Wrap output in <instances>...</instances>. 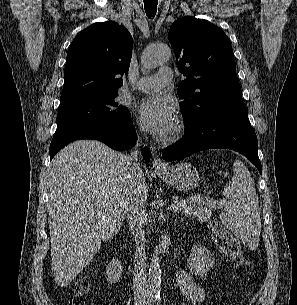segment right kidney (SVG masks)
<instances>
[{
    "label": "right kidney",
    "instance_id": "ca27d5eb",
    "mask_svg": "<svg viewBox=\"0 0 297 305\" xmlns=\"http://www.w3.org/2000/svg\"><path fill=\"white\" fill-rule=\"evenodd\" d=\"M123 267L119 260L112 259L106 269V280L109 284H115L118 282L122 275Z\"/></svg>",
    "mask_w": 297,
    "mask_h": 305
}]
</instances>
